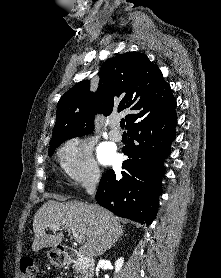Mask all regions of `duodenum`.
Instances as JSON below:
<instances>
[{
    "label": "duodenum",
    "mask_w": 221,
    "mask_h": 278,
    "mask_svg": "<svg viewBox=\"0 0 221 278\" xmlns=\"http://www.w3.org/2000/svg\"><path fill=\"white\" fill-rule=\"evenodd\" d=\"M57 250L59 252V256L66 263L76 264L78 267L84 270H87L92 266V260L90 258L84 257L76 248L60 245L57 247Z\"/></svg>",
    "instance_id": "duodenum-1"
}]
</instances>
